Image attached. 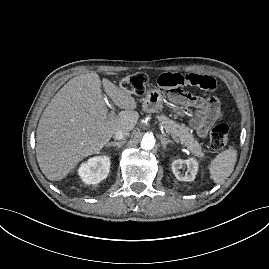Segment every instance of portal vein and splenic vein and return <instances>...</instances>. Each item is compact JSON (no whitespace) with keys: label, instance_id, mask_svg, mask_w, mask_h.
Returning a JSON list of instances; mask_svg holds the SVG:
<instances>
[{"label":"portal vein and splenic vein","instance_id":"1","mask_svg":"<svg viewBox=\"0 0 269 269\" xmlns=\"http://www.w3.org/2000/svg\"><path fill=\"white\" fill-rule=\"evenodd\" d=\"M107 102V101H106ZM107 105L112 109L111 113L115 114V107L107 102ZM174 140L179 143V140L177 138H174Z\"/></svg>","mask_w":269,"mask_h":269}]
</instances>
